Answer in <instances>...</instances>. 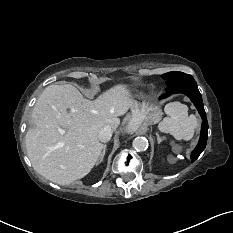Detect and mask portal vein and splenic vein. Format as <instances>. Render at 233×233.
Listing matches in <instances>:
<instances>
[{"mask_svg":"<svg viewBox=\"0 0 233 233\" xmlns=\"http://www.w3.org/2000/svg\"><path fill=\"white\" fill-rule=\"evenodd\" d=\"M59 132H60L61 134H65V131H64L63 129H60Z\"/></svg>","mask_w":233,"mask_h":233,"instance_id":"obj_1","label":"portal vein and splenic vein"}]
</instances>
